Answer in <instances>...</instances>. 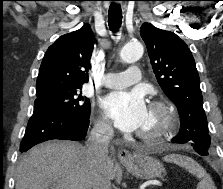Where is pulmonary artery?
<instances>
[{"instance_id": "obj_1", "label": "pulmonary artery", "mask_w": 223, "mask_h": 189, "mask_svg": "<svg viewBox=\"0 0 223 189\" xmlns=\"http://www.w3.org/2000/svg\"><path fill=\"white\" fill-rule=\"evenodd\" d=\"M142 79V71L133 66L126 72L105 74L102 84L107 88H124L133 85Z\"/></svg>"}]
</instances>
